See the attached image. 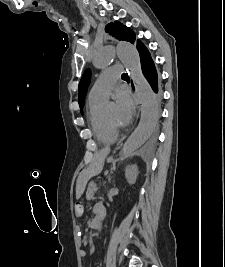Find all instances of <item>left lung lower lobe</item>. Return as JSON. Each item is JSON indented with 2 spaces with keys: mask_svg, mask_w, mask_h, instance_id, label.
<instances>
[{
  "mask_svg": "<svg viewBox=\"0 0 225 267\" xmlns=\"http://www.w3.org/2000/svg\"><path fill=\"white\" fill-rule=\"evenodd\" d=\"M136 46L139 52L142 73L155 92L156 100L159 103L161 100V86L154 62L148 49L140 40L137 41Z\"/></svg>",
  "mask_w": 225,
  "mask_h": 267,
  "instance_id": "obj_1",
  "label": "left lung lower lobe"
}]
</instances>
